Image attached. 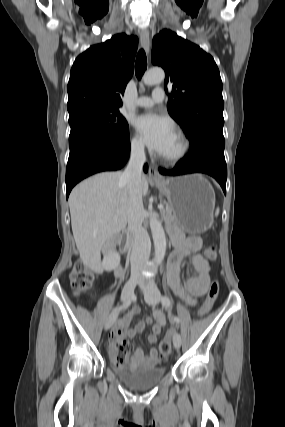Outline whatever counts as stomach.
Wrapping results in <instances>:
<instances>
[{
  "label": "stomach",
  "mask_w": 285,
  "mask_h": 427,
  "mask_svg": "<svg viewBox=\"0 0 285 427\" xmlns=\"http://www.w3.org/2000/svg\"><path fill=\"white\" fill-rule=\"evenodd\" d=\"M166 196L175 216L174 223L188 233H201L213 222L215 192L200 174L164 179L155 183Z\"/></svg>",
  "instance_id": "stomach-1"
}]
</instances>
